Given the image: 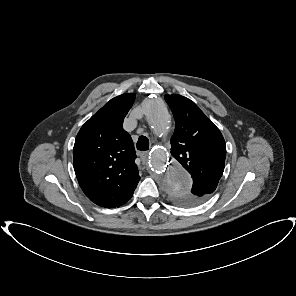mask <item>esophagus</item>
<instances>
[{
    "label": "esophagus",
    "instance_id": "1",
    "mask_svg": "<svg viewBox=\"0 0 296 296\" xmlns=\"http://www.w3.org/2000/svg\"><path fill=\"white\" fill-rule=\"evenodd\" d=\"M148 154L149 153L147 151L139 152V156H140L143 163H145L147 161Z\"/></svg>",
    "mask_w": 296,
    "mask_h": 296
}]
</instances>
